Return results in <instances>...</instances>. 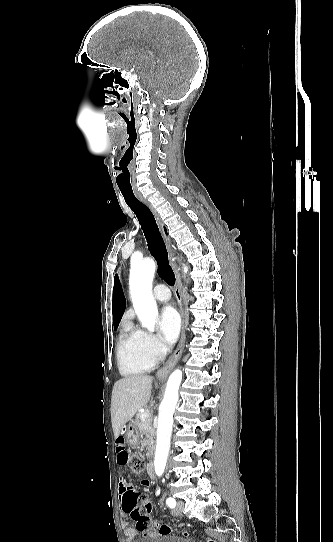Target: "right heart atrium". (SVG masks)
I'll use <instances>...</instances> for the list:
<instances>
[{
  "instance_id": "right-heart-atrium-1",
  "label": "right heart atrium",
  "mask_w": 333,
  "mask_h": 542,
  "mask_svg": "<svg viewBox=\"0 0 333 542\" xmlns=\"http://www.w3.org/2000/svg\"><path fill=\"white\" fill-rule=\"evenodd\" d=\"M140 336L144 340L145 346L154 354L162 355L164 352V346L161 340L154 334L139 331Z\"/></svg>"
}]
</instances>
